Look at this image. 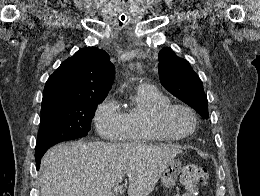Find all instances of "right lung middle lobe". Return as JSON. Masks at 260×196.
<instances>
[{"label":"right lung middle lobe","instance_id":"1","mask_svg":"<svg viewBox=\"0 0 260 196\" xmlns=\"http://www.w3.org/2000/svg\"><path fill=\"white\" fill-rule=\"evenodd\" d=\"M103 99L93 97L42 106L35 150L50 148L62 141L85 137L90 131L96 106Z\"/></svg>","mask_w":260,"mask_h":196}]
</instances>
